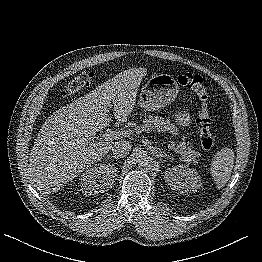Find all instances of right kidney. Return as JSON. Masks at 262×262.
Returning <instances> with one entry per match:
<instances>
[{
    "mask_svg": "<svg viewBox=\"0 0 262 262\" xmlns=\"http://www.w3.org/2000/svg\"><path fill=\"white\" fill-rule=\"evenodd\" d=\"M116 172L117 168L114 165H100L86 170L81 175L82 193L91 196L108 191L116 180Z\"/></svg>",
    "mask_w": 262,
    "mask_h": 262,
    "instance_id": "1",
    "label": "right kidney"
}]
</instances>
